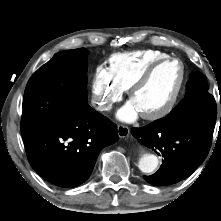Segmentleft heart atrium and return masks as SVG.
Returning <instances> with one entry per match:
<instances>
[{"label": "left heart atrium", "instance_id": "obj_1", "mask_svg": "<svg viewBox=\"0 0 221 221\" xmlns=\"http://www.w3.org/2000/svg\"><path fill=\"white\" fill-rule=\"evenodd\" d=\"M140 111L132 100L127 102L117 113L120 120L132 122L138 118Z\"/></svg>", "mask_w": 221, "mask_h": 221}]
</instances>
